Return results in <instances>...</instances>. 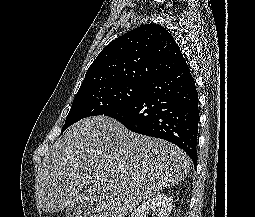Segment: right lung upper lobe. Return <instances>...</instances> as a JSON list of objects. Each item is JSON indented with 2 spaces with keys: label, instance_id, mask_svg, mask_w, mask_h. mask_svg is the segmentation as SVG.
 <instances>
[{
  "label": "right lung upper lobe",
  "instance_id": "cb5924a9",
  "mask_svg": "<svg viewBox=\"0 0 255 217\" xmlns=\"http://www.w3.org/2000/svg\"><path fill=\"white\" fill-rule=\"evenodd\" d=\"M186 64L178 44L164 27L142 25L113 40L100 52L78 92L104 85H148Z\"/></svg>",
  "mask_w": 255,
  "mask_h": 217
}]
</instances>
